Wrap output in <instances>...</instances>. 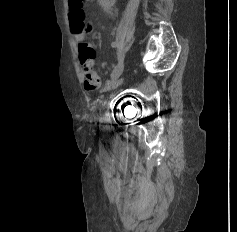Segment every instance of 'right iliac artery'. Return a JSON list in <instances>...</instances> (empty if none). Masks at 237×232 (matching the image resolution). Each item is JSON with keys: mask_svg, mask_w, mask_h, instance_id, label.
<instances>
[{"mask_svg": "<svg viewBox=\"0 0 237 232\" xmlns=\"http://www.w3.org/2000/svg\"><path fill=\"white\" fill-rule=\"evenodd\" d=\"M111 46H112V47H117V46H118V43H117V42H112V43H111Z\"/></svg>", "mask_w": 237, "mask_h": 232, "instance_id": "right-iliac-artery-1", "label": "right iliac artery"}]
</instances>
